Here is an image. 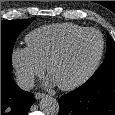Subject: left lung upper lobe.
<instances>
[{"mask_svg": "<svg viewBox=\"0 0 115 115\" xmlns=\"http://www.w3.org/2000/svg\"><path fill=\"white\" fill-rule=\"evenodd\" d=\"M108 76H115V42L110 36H108L107 39L105 60L88 82L99 80Z\"/></svg>", "mask_w": 115, "mask_h": 115, "instance_id": "1", "label": "left lung upper lobe"}]
</instances>
